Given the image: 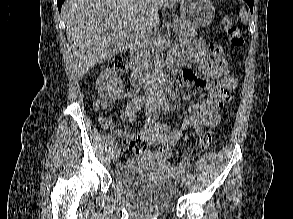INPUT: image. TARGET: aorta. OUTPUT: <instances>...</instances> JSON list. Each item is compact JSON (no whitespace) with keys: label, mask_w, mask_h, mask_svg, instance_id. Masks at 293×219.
Segmentation results:
<instances>
[{"label":"aorta","mask_w":293,"mask_h":219,"mask_svg":"<svg viewBox=\"0 0 293 219\" xmlns=\"http://www.w3.org/2000/svg\"><path fill=\"white\" fill-rule=\"evenodd\" d=\"M163 43H161L156 51H155V55H154V69L155 72L158 74V76H160V84L162 86V88L164 90L168 89V85L167 82L164 78V73H163V66H164V54H163Z\"/></svg>","instance_id":"762f6f07"}]
</instances>
